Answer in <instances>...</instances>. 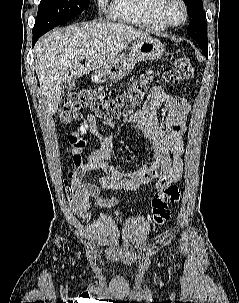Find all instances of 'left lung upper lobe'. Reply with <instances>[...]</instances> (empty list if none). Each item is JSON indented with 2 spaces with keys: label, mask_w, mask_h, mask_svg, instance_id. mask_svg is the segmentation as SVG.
I'll list each match as a JSON object with an SVG mask.
<instances>
[{
  "label": "left lung upper lobe",
  "mask_w": 239,
  "mask_h": 303,
  "mask_svg": "<svg viewBox=\"0 0 239 303\" xmlns=\"http://www.w3.org/2000/svg\"><path fill=\"white\" fill-rule=\"evenodd\" d=\"M187 6L188 15L191 21L188 26L187 34L192 37L203 53L208 50L207 25L203 15L202 0H183Z\"/></svg>",
  "instance_id": "5c2ea615"
}]
</instances>
